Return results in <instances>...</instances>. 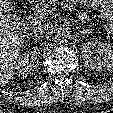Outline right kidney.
<instances>
[{
	"label": "right kidney",
	"instance_id": "1",
	"mask_svg": "<svg viewBox=\"0 0 113 113\" xmlns=\"http://www.w3.org/2000/svg\"><path fill=\"white\" fill-rule=\"evenodd\" d=\"M40 54L41 52L37 47H34L23 53L19 57L15 66L17 75L26 77L32 74L39 65Z\"/></svg>",
	"mask_w": 113,
	"mask_h": 113
}]
</instances>
